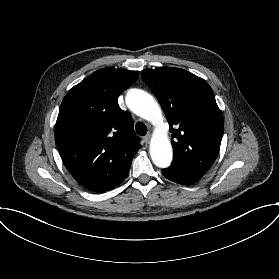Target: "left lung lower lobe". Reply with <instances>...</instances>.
Masks as SVG:
<instances>
[{
  "label": "left lung lower lobe",
  "mask_w": 279,
  "mask_h": 279,
  "mask_svg": "<svg viewBox=\"0 0 279 279\" xmlns=\"http://www.w3.org/2000/svg\"><path fill=\"white\" fill-rule=\"evenodd\" d=\"M162 173L169 180L184 185L194 184L202 178V176L192 175L172 167L163 169Z\"/></svg>",
  "instance_id": "left-lung-lower-lobe-1"
}]
</instances>
